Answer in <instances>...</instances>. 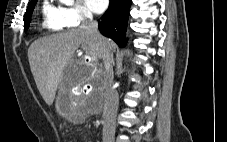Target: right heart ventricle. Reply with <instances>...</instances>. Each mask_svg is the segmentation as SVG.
I'll return each instance as SVG.
<instances>
[{"label": "right heart ventricle", "mask_w": 227, "mask_h": 142, "mask_svg": "<svg viewBox=\"0 0 227 142\" xmlns=\"http://www.w3.org/2000/svg\"><path fill=\"white\" fill-rule=\"evenodd\" d=\"M41 26L49 32H60L68 27L62 9L50 0H44L41 5Z\"/></svg>", "instance_id": "1"}]
</instances>
